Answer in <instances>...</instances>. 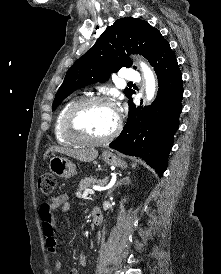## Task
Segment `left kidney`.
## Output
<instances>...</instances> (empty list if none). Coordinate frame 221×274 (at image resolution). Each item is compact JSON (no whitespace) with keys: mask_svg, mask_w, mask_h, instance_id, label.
Here are the masks:
<instances>
[{"mask_svg":"<svg viewBox=\"0 0 221 274\" xmlns=\"http://www.w3.org/2000/svg\"><path fill=\"white\" fill-rule=\"evenodd\" d=\"M124 201H125V200H124ZM122 204H123V203L121 202V203H120L121 208H123V205H122Z\"/></svg>","mask_w":221,"mask_h":274,"instance_id":"1","label":"left kidney"}]
</instances>
